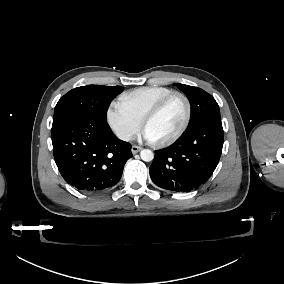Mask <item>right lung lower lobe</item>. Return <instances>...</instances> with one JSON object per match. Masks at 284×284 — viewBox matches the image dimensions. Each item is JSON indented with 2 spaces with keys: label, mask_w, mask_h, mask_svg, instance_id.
<instances>
[{
  "label": "right lung lower lobe",
  "mask_w": 284,
  "mask_h": 284,
  "mask_svg": "<svg viewBox=\"0 0 284 284\" xmlns=\"http://www.w3.org/2000/svg\"><path fill=\"white\" fill-rule=\"evenodd\" d=\"M52 144L62 177L84 192L115 186L132 157L131 144L119 140L107 122L91 116L68 118L52 128Z\"/></svg>",
  "instance_id": "98d812e1"
}]
</instances>
